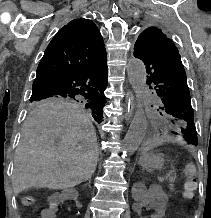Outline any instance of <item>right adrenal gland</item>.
Instances as JSON below:
<instances>
[{
  "label": "right adrenal gland",
  "instance_id": "1",
  "mask_svg": "<svg viewBox=\"0 0 211 218\" xmlns=\"http://www.w3.org/2000/svg\"><path fill=\"white\" fill-rule=\"evenodd\" d=\"M90 184H91V178H89V180H88V186H89V188H91ZM85 186H87V184H85Z\"/></svg>",
  "mask_w": 211,
  "mask_h": 218
}]
</instances>
